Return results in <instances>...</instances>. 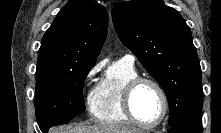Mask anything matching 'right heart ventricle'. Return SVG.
Listing matches in <instances>:
<instances>
[{
    "label": "right heart ventricle",
    "instance_id": "1",
    "mask_svg": "<svg viewBox=\"0 0 221 133\" xmlns=\"http://www.w3.org/2000/svg\"><path fill=\"white\" fill-rule=\"evenodd\" d=\"M137 77L134 64L123 59L113 62L91 95L89 108L93 118L105 124H130L123 109V92L128 82Z\"/></svg>",
    "mask_w": 221,
    "mask_h": 133
}]
</instances>
